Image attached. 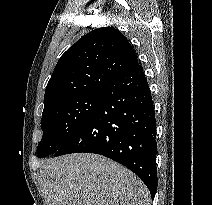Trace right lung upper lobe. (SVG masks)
Returning <instances> with one entry per match:
<instances>
[{"mask_svg":"<svg viewBox=\"0 0 212 205\" xmlns=\"http://www.w3.org/2000/svg\"><path fill=\"white\" fill-rule=\"evenodd\" d=\"M138 64L127 38L113 27L89 32L59 59L46 86L43 113L69 99L101 92Z\"/></svg>","mask_w":212,"mask_h":205,"instance_id":"cb5924a9","label":"right lung upper lobe"}]
</instances>
